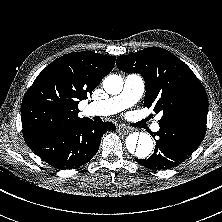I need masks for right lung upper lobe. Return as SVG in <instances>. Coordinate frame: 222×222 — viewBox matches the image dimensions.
Returning a JSON list of instances; mask_svg holds the SVG:
<instances>
[{
    "mask_svg": "<svg viewBox=\"0 0 222 222\" xmlns=\"http://www.w3.org/2000/svg\"><path fill=\"white\" fill-rule=\"evenodd\" d=\"M114 56L73 52L53 61L37 76L21 105L23 136L81 123L78 103L111 72Z\"/></svg>",
    "mask_w": 222,
    "mask_h": 222,
    "instance_id": "right-lung-upper-lobe-1",
    "label": "right lung upper lobe"
}]
</instances>
